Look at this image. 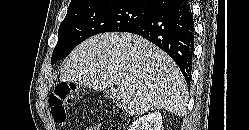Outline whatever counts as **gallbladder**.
<instances>
[{"instance_id":"gallbladder-1","label":"gallbladder","mask_w":249,"mask_h":130,"mask_svg":"<svg viewBox=\"0 0 249 130\" xmlns=\"http://www.w3.org/2000/svg\"><path fill=\"white\" fill-rule=\"evenodd\" d=\"M106 97H111V92L109 90L104 91Z\"/></svg>"}]
</instances>
